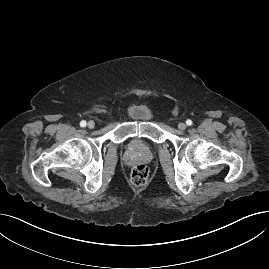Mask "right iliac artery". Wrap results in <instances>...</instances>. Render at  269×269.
Here are the masks:
<instances>
[{"mask_svg": "<svg viewBox=\"0 0 269 269\" xmlns=\"http://www.w3.org/2000/svg\"><path fill=\"white\" fill-rule=\"evenodd\" d=\"M80 126H81V127H85V126H86V121H85V120H82V121L80 122Z\"/></svg>", "mask_w": 269, "mask_h": 269, "instance_id": "82829eb1", "label": "right iliac artery"}]
</instances>
